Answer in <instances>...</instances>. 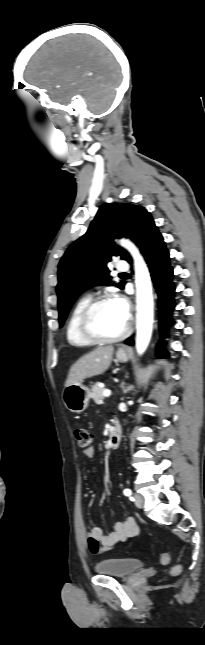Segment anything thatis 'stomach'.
I'll list each match as a JSON object with an SVG mask.
<instances>
[{
    "label": "stomach",
    "instance_id": "1",
    "mask_svg": "<svg viewBox=\"0 0 205 645\" xmlns=\"http://www.w3.org/2000/svg\"><path fill=\"white\" fill-rule=\"evenodd\" d=\"M116 359L119 362H126L128 354L123 349H119L116 353ZM90 396V390L82 383L66 386L62 393L65 407L73 413L83 412L88 407Z\"/></svg>",
    "mask_w": 205,
    "mask_h": 645
}]
</instances>
